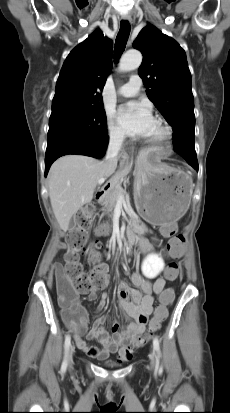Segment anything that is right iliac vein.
Segmentation results:
<instances>
[{"label": "right iliac vein", "instance_id": "right-iliac-vein-1", "mask_svg": "<svg viewBox=\"0 0 230 413\" xmlns=\"http://www.w3.org/2000/svg\"><path fill=\"white\" fill-rule=\"evenodd\" d=\"M73 353H74V346L71 345L67 352V362L70 367L72 366V363H73Z\"/></svg>", "mask_w": 230, "mask_h": 413}]
</instances>
